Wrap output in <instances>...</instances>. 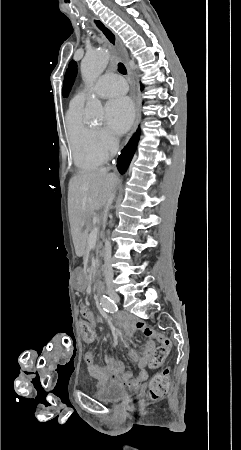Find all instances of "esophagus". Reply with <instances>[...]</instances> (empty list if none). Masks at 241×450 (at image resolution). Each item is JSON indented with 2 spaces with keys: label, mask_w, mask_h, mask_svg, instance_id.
Segmentation results:
<instances>
[{
  "label": "esophagus",
  "mask_w": 241,
  "mask_h": 450,
  "mask_svg": "<svg viewBox=\"0 0 241 450\" xmlns=\"http://www.w3.org/2000/svg\"><path fill=\"white\" fill-rule=\"evenodd\" d=\"M91 23L101 34L102 38L107 43L108 47L111 49L114 57L120 58V56H121L122 57L121 59L126 64H128V56H127L125 50L120 47L118 36L113 32V30H111V28H109L108 25L98 17H93L91 19ZM129 73L131 76L133 75V72L130 68H129ZM132 97H133L134 110H135L136 117H135V121L132 125L130 134L127 137L126 141H128L130 139V137L132 136V134L136 131V129L139 125L140 119H141V98L139 96L138 87H137L136 83L133 84Z\"/></svg>",
  "instance_id": "34e87169"
}]
</instances>
